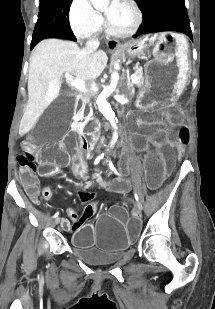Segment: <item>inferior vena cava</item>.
Segmentation results:
<instances>
[{
  "label": "inferior vena cava",
  "mask_w": 215,
  "mask_h": 309,
  "mask_svg": "<svg viewBox=\"0 0 215 309\" xmlns=\"http://www.w3.org/2000/svg\"><path fill=\"white\" fill-rule=\"evenodd\" d=\"M99 46V40H96V38H94V40H87L86 42V50L87 52H94V50H97ZM89 84L92 88L93 84H95L93 78H91V80H89ZM95 92H93V90H90V92H88L87 96H89V98H92V96H94ZM94 122H96V120H94Z\"/></svg>",
  "instance_id": "1"
}]
</instances>
